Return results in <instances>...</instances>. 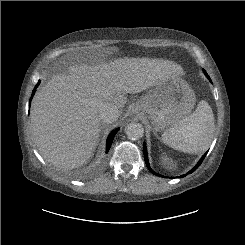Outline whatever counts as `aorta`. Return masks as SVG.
<instances>
[{
  "label": "aorta",
  "mask_w": 245,
  "mask_h": 245,
  "mask_svg": "<svg viewBox=\"0 0 245 245\" xmlns=\"http://www.w3.org/2000/svg\"><path fill=\"white\" fill-rule=\"evenodd\" d=\"M125 133L130 140H139L143 137L144 129L140 123H129L125 127Z\"/></svg>",
  "instance_id": "aorta-1"
}]
</instances>
